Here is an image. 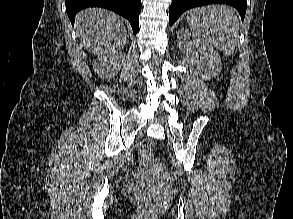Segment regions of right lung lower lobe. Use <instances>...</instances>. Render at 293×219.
Masks as SVG:
<instances>
[{
  "label": "right lung lower lobe",
  "mask_w": 293,
  "mask_h": 219,
  "mask_svg": "<svg viewBox=\"0 0 293 219\" xmlns=\"http://www.w3.org/2000/svg\"><path fill=\"white\" fill-rule=\"evenodd\" d=\"M68 17L74 25L75 15L87 7H102L125 17L131 24L133 33L139 28L141 0H65Z\"/></svg>",
  "instance_id": "98d812e1"
}]
</instances>
